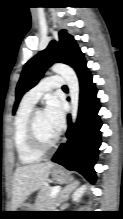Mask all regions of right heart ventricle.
Segmentation results:
<instances>
[{"label":"right heart ventricle","mask_w":123,"mask_h":219,"mask_svg":"<svg viewBox=\"0 0 123 219\" xmlns=\"http://www.w3.org/2000/svg\"><path fill=\"white\" fill-rule=\"evenodd\" d=\"M33 111V105L22 100L14 120V144L19 161L22 164H34L41 159V154L30 145L28 136V121Z\"/></svg>","instance_id":"1"}]
</instances>
